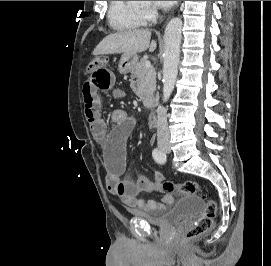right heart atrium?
I'll return each instance as SVG.
<instances>
[{"label": "right heart atrium", "mask_w": 271, "mask_h": 266, "mask_svg": "<svg viewBox=\"0 0 271 266\" xmlns=\"http://www.w3.org/2000/svg\"><path fill=\"white\" fill-rule=\"evenodd\" d=\"M155 16V10L151 7H147L143 9V17L145 22L150 21L154 18Z\"/></svg>", "instance_id": "obj_1"}]
</instances>
